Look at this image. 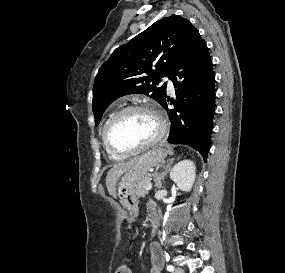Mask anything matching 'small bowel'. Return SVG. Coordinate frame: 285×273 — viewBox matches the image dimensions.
Segmentation results:
<instances>
[{"label": "small bowel", "instance_id": "c3829d8e", "mask_svg": "<svg viewBox=\"0 0 285 273\" xmlns=\"http://www.w3.org/2000/svg\"><path fill=\"white\" fill-rule=\"evenodd\" d=\"M156 209L152 203L147 205V212L149 214L150 210ZM150 255H151V270L150 273H161V267L163 264V255L158 244H152L150 247ZM127 269L126 273H133L132 269L124 266Z\"/></svg>", "mask_w": 285, "mask_h": 273}]
</instances>
